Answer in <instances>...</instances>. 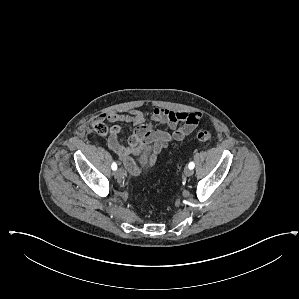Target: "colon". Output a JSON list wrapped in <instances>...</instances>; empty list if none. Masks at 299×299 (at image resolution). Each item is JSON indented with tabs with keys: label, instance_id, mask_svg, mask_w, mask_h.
Masks as SVG:
<instances>
[{
	"label": "colon",
	"instance_id": "1",
	"mask_svg": "<svg viewBox=\"0 0 299 299\" xmlns=\"http://www.w3.org/2000/svg\"><path fill=\"white\" fill-rule=\"evenodd\" d=\"M93 131L101 137H105L109 134V128L102 119H97L92 124ZM196 137L199 141L209 143L212 139L211 133L206 130H200L197 132Z\"/></svg>",
	"mask_w": 299,
	"mask_h": 299
}]
</instances>
